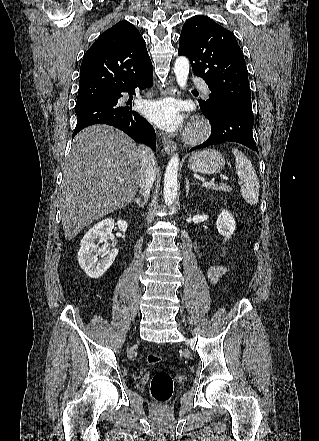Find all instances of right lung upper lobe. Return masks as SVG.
<instances>
[{
    "mask_svg": "<svg viewBox=\"0 0 319 441\" xmlns=\"http://www.w3.org/2000/svg\"><path fill=\"white\" fill-rule=\"evenodd\" d=\"M153 70L145 41L136 27L120 21L102 33L85 53L77 102L106 98Z\"/></svg>",
    "mask_w": 319,
    "mask_h": 441,
    "instance_id": "1",
    "label": "right lung upper lobe"
}]
</instances>
